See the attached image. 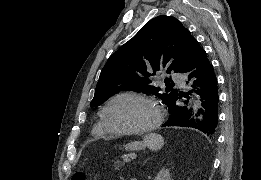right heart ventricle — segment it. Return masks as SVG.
<instances>
[{
    "mask_svg": "<svg viewBox=\"0 0 261 180\" xmlns=\"http://www.w3.org/2000/svg\"><path fill=\"white\" fill-rule=\"evenodd\" d=\"M91 136L93 139L101 142H107L117 139V137L111 135L103 125L101 118H99L91 128Z\"/></svg>",
    "mask_w": 261,
    "mask_h": 180,
    "instance_id": "right-heart-ventricle-1",
    "label": "right heart ventricle"
}]
</instances>
